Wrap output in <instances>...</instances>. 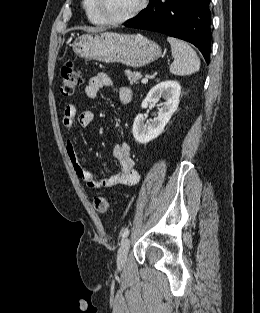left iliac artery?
Segmentation results:
<instances>
[{
	"mask_svg": "<svg viewBox=\"0 0 260 313\" xmlns=\"http://www.w3.org/2000/svg\"><path fill=\"white\" fill-rule=\"evenodd\" d=\"M129 234V229H125L123 232H122V238H126Z\"/></svg>",
	"mask_w": 260,
	"mask_h": 313,
	"instance_id": "44dca946",
	"label": "left iliac artery"
}]
</instances>
